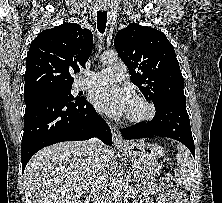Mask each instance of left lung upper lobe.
<instances>
[{"mask_svg": "<svg viewBox=\"0 0 222 203\" xmlns=\"http://www.w3.org/2000/svg\"><path fill=\"white\" fill-rule=\"evenodd\" d=\"M131 81L155 107L170 99L186 101L175 50L161 31L130 23L114 39Z\"/></svg>", "mask_w": 222, "mask_h": 203, "instance_id": "obj_1", "label": "left lung upper lobe"}]
</instances>
